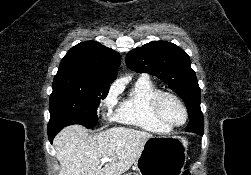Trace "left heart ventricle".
Masks as SVG:
<instances>
[{"instance_id": "b2bd125f", "label": "left heart ventricle", "mask_w": 251, "mask_h": 175, "mask_svg": "<svg viewBox=\"0 0 251 175\" xmlns=\"http://www.w3.org/2000/svg\"><path fill=\"white\" fill-rule=\"evenodd\" d=\"M162 116L172 125L178 126L185 121V111L181 103L171 96H166L160 104Z\"/></svg>"}]
</instances>
